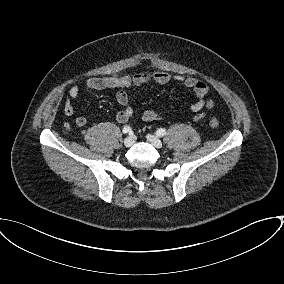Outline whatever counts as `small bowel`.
Wrapping results in <instances>:
<instances>
[{
	"mask_svg": "<svg viewBox=\"0 0 284 284\" xmlns=\"http://www.w3.org/2000/svg\"><path fill=\"white\" fill-rule=\"evenodd\" d=\"M171 81L183 84L186 88L190 89L194 93L196 100L191 105V111L195 113V121H200L206 117V114L202 113V110L204 108H207L209 110L214 108V101L211 99H206L209 88L204 82L189 76H172L167 72L159 71L148 74L124 75L121 77L88 78L82 85L76 84L69 89L67 99L64 104V112L68 116L74 114V106L72 104V100L79 97L82 86L86 87L87 89L96 91L116 90V100L121 106H123V109L118 111L116 114V121L120 124H125L134 115L133 108L129 104V96L126 93L125 89L150 83L164 85ZM141 117L146 122H155L162 119L160 112L156 110H145L142 113ZM86 123L87 120L85 117L80 116L76 119V124L79 127L85 126Z\"/></svg>",
	"mask_w": 284,
	"mask_h": 284,
	"instance_id": "c3829d8e",
	"label": "small bowel"
}]
</instances>
